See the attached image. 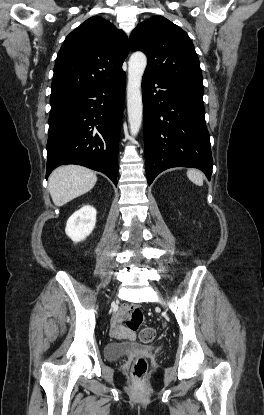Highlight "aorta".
I'll list each match as a JSON object with an SVG mask.
<instances>
[{
	"mask_svg": "<svg viewBox=\"0 0 264 415\" xmlns=\"http://www.w3.org/2000/svg\"><path fill=\"white\" fill-rule=\"evenodd\" d=\"M147 65V58L142 52H135L128 62L127 110L130 133L136 136L142 123L141 82Z\"/></svg>",
	"mask_w": 264,
	"mask_h": 415,
	"instance_id": "aorta-1",
	"label": "aorta"
}]
</instances>
